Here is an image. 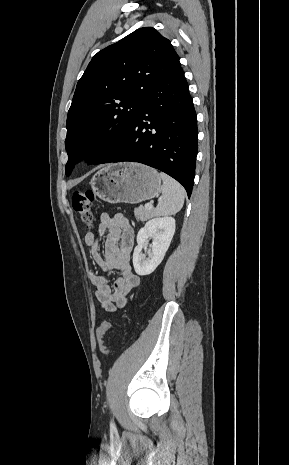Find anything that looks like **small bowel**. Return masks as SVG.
<instances>
[{"instance_id": "c3829d8e", "label": "small bowel", "mask_w": 289, "mask_h": 465, "mask_svg": "<svg viewBox=\"0 0 289 465\" xmlns=\"http://www.w3.org/2000/svg\"><path fill=\"white\" fill-rule=\"evenodd\" d=\"M105 236L104 253L99 249V240ZM134 241L133 228L123 214L102 213L97 232H88L84 242L91 250L96 264L104 271L120 272L113 286L104 275L89 273L95 286V294L104 310L113 312L125 306L127 297L140 283L139 276L131 266V251Z\"/></svg>"}]
</instances>
